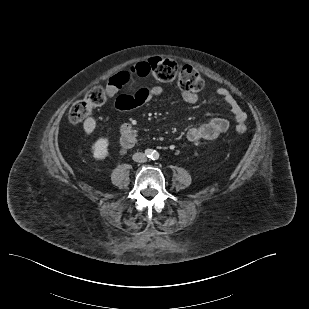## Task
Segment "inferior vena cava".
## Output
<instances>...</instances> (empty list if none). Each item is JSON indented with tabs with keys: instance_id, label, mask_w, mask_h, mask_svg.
Instances as JSON below:
<instances>
[{
	"instance_id": "inferior-vena-cava-1",
	"label": "inferior vena cava",
	"mask_w": 309,
	"mask_h": 309,
	"mask_svg": "<svg viewBox=\"0 0 309 309\" xmlns=\"http://www.w3.org/2000/svg\"><path fill=\"white\" fill-rule=\"evenodd\" d=\"M132 159L135 161V162H139V163H144L147 161V157L144 153L142 152H138V153H135L132 157Z\"/></svg>"
}]
</instances>
